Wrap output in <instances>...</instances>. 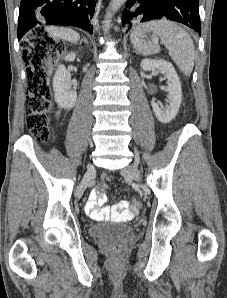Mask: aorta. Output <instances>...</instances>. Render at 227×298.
I'll use <instances>...</instances> for the list:
<instances>
[{
  "instance_id": "obj_1",
  "label": "aorta",
  "mask_w": 227,
  "mask_h": 298,
  "mask_svg": "<svg viewBox=\"0 0 227 298\" xmlns=\"http://www.w3.org/2000/svg\"><path fill=\"white\" fill-rule=\"evenodd\" d=\"M126 0H111L108 11L105 16L103 31L108 33L110 21L117 10L125 3Z\"/></svg>"
}]
</instances>
